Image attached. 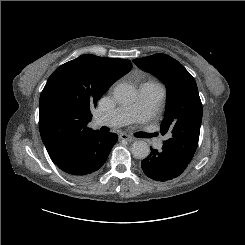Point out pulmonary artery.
Masks as SVG:
<instances>
[{
  "mask_svg": "<svg viewBox=\"0 0 245 245\" xmlns=\"http://www.w3.org/2000/svg\"><path fill=\"white\" fill-rule=\"evenodd\" d=\"M164 96L162 87L143 83L135 102L118 107L112 112L98 114L96 122L104 126H122L131 121H147L156 113ZM161 147L162 142L159 141L157 148Z\"/></svg>",
  "mask_w": 245,
  "mask_h": 245,
  "instance_id": "e3ab8cb5",
  "label": "pulmonary artery"
}]
</instances>
